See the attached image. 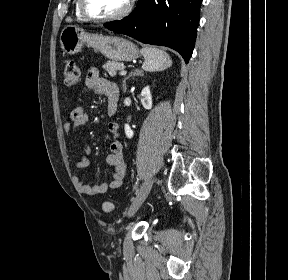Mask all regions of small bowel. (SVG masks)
I'll return each instance as SVG.
<instances>
[{
    "label": "small bowel",
    "mask_w": 288,
    "mask_h": 280,
    "mask_svg": "<svg viewBox=\"0 0 288 280\" xmlns=\"http://www.w3.org/2000/svg\"><path fill=\"white\" fill-rule=\"evenodd\" d=\"M85 84L86 87L94 93L104 94L107 97V113L110 114L109 102L112 99H118L117 86L102 78L97 68H91L88 71ZM88 121V112L83 105H79L71 111L70 120L64 123V131L66 133H71L75 129L87 125ZM108 130L113 137V140L110 143V153L106 157V162L114 169L112 178L109 182H103L99 185L91 186L86 184L80 176H74L76 187L83 194L90 196L102 195L107 193L110 189H116L123 184L127 171V164L123 155V145L119 140L120 129L118 124L112 122L109 123ZM84 153L85 155L79 156L75 162V167L78 170L85 169L88 166L89 161L86 155L90 153V149L85 147Z\"/></svg>",
    "instance_id": "obj_1"
}]
</instances>
